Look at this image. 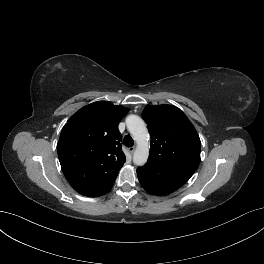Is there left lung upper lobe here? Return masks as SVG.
<instances>
[{"instance_id":"5c2ea615","label":"left lung upper lobe","mask_w":264,"mask_h":264,"mask_svg":"<svg viewBox=\"0 0 264 264\" xmlns=\"http://www.w3.org/2000/svg\"><path fill=\"white\" fill-rule=\"evenodd\" d=\"M151 135L148 162L188 180L200 163V138L182 110L173 105H147L142 112Z\"/></svg>"}]
</instances>
